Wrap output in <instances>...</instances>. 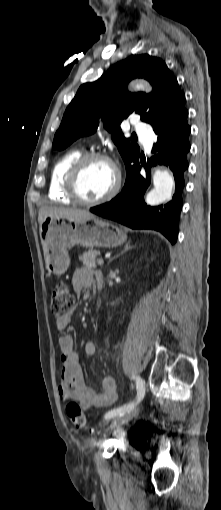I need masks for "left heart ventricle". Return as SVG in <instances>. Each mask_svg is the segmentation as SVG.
Masks as SVG:
<instances>
[{
	"label": "left heart ventricle",
	"mask_w": 221,
	"mask_h": 510,
	"mask_svg": "<svg viewBox=\"0 0 221 510\" xmlns=\"http://www.w3.org/2000/svg\"><path fill=\"white\" fill-rule=\"evenodd\" d=\"M115 172L105 161L89 162L78 182L80 194L84 199L95 200L107 194L114 186Z\"/></svg>",
	"instance_id": "obj_1"
}]
</instances>
